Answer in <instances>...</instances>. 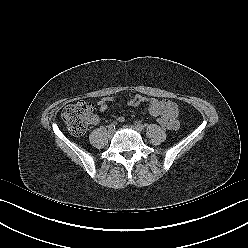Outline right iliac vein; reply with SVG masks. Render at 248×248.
I'll use <instances>...</instances> for the list:
<instances>
[{"label": "right iliac vein", "instance_id": "obj_1", "mask_svg": "<svg viewBox=\"0 0 248 248\" xmlns=\"http://www.w3.org/2000/svg\"><path fill=\"white\" fill-rule=\"evenodd\" d=\"M113 134H114V130H109V131H108V135H109V137H112V136H113Z\"/></svg>", "mask_w": 248, "mask_h": 248}]
</instances>
